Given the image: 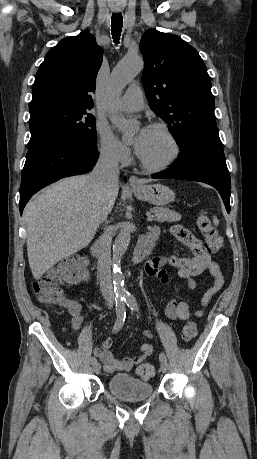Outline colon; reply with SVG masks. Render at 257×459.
Instances as JSON below:
<instances>
[{"label":"colon","mask_w":257,"mask_h":459,"mask_svg":"<svg viewBox=\"0 0 257 459\" xmlns=\"http://www.w3.org/2000/svg\"><path fill=\"white\" fill-rule=\"evenodd\" d=\"M197 226L204 237L205 247L215 253L222 247L223 241L218 230L211 223L210 218L201 212L197 217ZM86 261L82 257L68 258L56 267L50 269L43 277L33 283V291L43 305H59L68 307L69 300L63 296L60 284L69 279L78 281L85 276ZM197 336V326L194 322H187L182 330V337L190 341ZM140 378L147 380L154 376L155 367L152 364H143L137 369Z\"/></svg>","instance_id":"obj_1"}]
</instances>
